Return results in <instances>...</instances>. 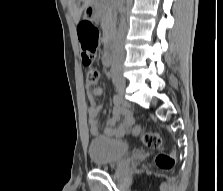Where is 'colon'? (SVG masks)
I'll list each match as a JSON object with an SVG mask.
<instances>
[{"label":"colon","mask_w":223,"mask_h":191,"mask_svg":"<svg viewBox=\"0 0 223 191\" xmlns=\"http://www.w3.org/2000/svg\"><path fill=\"white\" fill-rule=\"evenodd\" d=\"M99 31L90 27L85 26L80 31V41L82 47V61L83 64L91 68L96 60V51L99 44ZM99 73L97 70L89 69L87 73L88 83L94 84L98 81ZM133 135L139 137L144 145L149 148H159L162 140L159 134L147 132L140 126L133 128ZM155 163L161 170H170L174 165V159L172 155L160 152L155 159Z\"/></svg>","instance_id":"5ec220e1"}]
</instances>
